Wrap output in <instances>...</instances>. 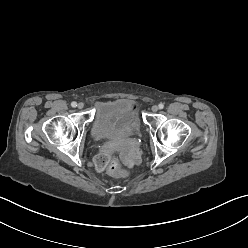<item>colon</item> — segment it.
<instances>
[{
  "mask_svg": "<svg viewBox=\"0 0 248 248\" xmlns=\"http://www.w3.org/2000/svg\"><path fill=\"white\" fill-rule=\"evenodd\" d=\"M91 163L96 168L104 167L107 165L108 173L113 177L120 178L126 175V172L118 159L114 158L108 162L107 156L103 153L95 155L92 158Z\"/></svg>",
  "mask_w": 248,
  "mask_h": 248,
  "instance_id": "obj_1",
  "label": "colon"
}]
</instances>
